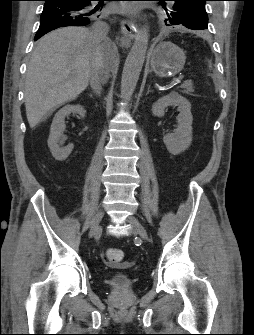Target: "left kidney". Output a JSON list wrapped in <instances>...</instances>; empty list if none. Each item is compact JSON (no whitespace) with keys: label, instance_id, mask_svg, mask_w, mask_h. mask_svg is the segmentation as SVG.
Here are the masks:
<instances>
[{"label":"left kidney","instance_id":"left-kidney-1","mask_svg":"<svg viewBox=\"0 0 254 335\" xmlns=\"http://www.w3.org/2000/svg\"><path fill=\"white\" fill-rule=\"evenodd\" d=\"M173 105L178 106L180 112L177 116L178 126L174 133H168L163 137V142L171 154L177 155L188 149L192 142L193 117L190 102L173 91L152 105V114L162 117L165 109Z\"/></svg>","mask_w":254,"mask_h":335}]
</instances>
